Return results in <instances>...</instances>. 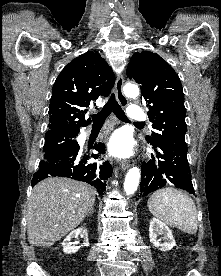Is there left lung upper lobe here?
Instances as JSON below:
<instances>
[{"label": "left lung upper lobe", "instance_id": "1", "mask_svg": "<svg viewBox=\"0 0 221 276\" xmlns=\"http://www.w3.org/2000/svg\"><path fill=\"white\" fill-rule=\"evenodd\" d=\"M126 74L140 84L147 102L148 117L155 129L146 137L147 142H164L187 150L184 94L174 69L158 54L143 51L131 57Z\"/></svg>", "mask_w": 221, "mask_h": 276}]
</instances>
